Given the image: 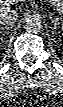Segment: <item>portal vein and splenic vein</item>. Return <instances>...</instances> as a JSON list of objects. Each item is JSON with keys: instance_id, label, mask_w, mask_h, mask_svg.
Instances as JSON below:
<instances>
[{"instance_id": "obj_1", "label": "portal vein and splenic vein", "mask_w": 63, "mask_h": 107, "mask_svg": "<svg viewBox=\"0 0 63 107\" xmlns=\"http://www.w3.org/2000/svg\"><path fill=\"white\" fill-rule=\"evenodd\" d=\"M6 1V3L8 4V5H11V4H13V1L12 0H5ZM60 14L63 12V11H59V10H57Z\"/></svg>"}]
</instances>
